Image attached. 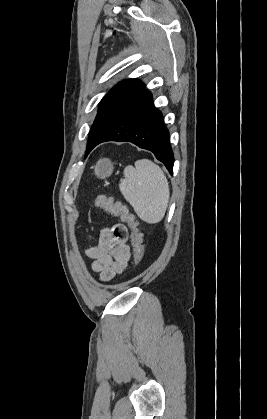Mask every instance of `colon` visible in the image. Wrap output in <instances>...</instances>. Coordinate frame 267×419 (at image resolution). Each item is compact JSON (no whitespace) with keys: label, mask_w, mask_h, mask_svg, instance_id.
Instances as JSON below:
<instances>
[{"label":"colon","mask_w":267,"mask_h":419,"mask_svg":"<svg viewBox=\"0 0 267 419\" xmlns=\"http://www.w3.org/2000/svg\"><path fill=\"white\" fill-rule=\"evenodd\" d=\"M93 202L97 207H100L107 213L119 217L121 221L130 228L134 251V265H138L144 255V245L142 242V234L134 216L129 212L125 205L110 197L98 195Z\"/></svg>","instance_id":"5ec220e1"}]
</instances>
